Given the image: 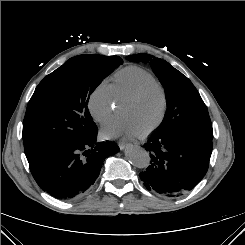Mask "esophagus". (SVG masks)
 <instances>
[{
	"label": "esophagus",
	"instance_id": "obj_1",
	"mask_svg": "<svg viewBox=\"0 0 245 245\" xmlns=\"http://www.w3.org/2000/svg\"><path fill=\"white\" fill-rule=\"evenodd\" d=\"M119 148L121 150L125 149V147L128 145L127 143L123 142V141H119L118 142Z\"/></svg>",
	"mask_w": 245,
	"mask_h": 245
}]
</instances>
